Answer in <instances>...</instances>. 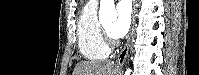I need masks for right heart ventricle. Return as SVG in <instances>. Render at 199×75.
Listing matches in <instances>:
<instances>
[{
  "label": "right heart ventricle",
  "mask_w": 199,
  "mask_h": 75,
  "mask_svg": "<svg viewBox=\"0 0 199 75\" xmlns=\"http://www.w3.org/2000/svg\"><path fill=\"white\" fill-rule=\"evenodd\" d=\"M101 26L96 15V6L87 5L77 25L78 47L82 56L87 60H104L109 55V47L104 39Z\"/></svg>",
  "instance_id": "obj_1"
}]
</instances>
